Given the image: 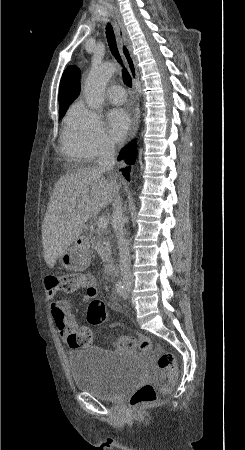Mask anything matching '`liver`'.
<instances>
[{
	"label": "liver",
	"instance_id": "obj_1",
	"mask_svg": "<svg viewBox=\"0 0 245 450\" xmlns=\"http://www.w3.org/2000/svg\"><path fill=\"white\" fill-rule=\"evenodd\" d=\"M118 185L97 169H77L54 186L42 224L44 259L49 268L76 241L92 217L111 203Z\"/></svg>",
	"mask_w": 245,
	"mask_h": 450
}]
</instances>
